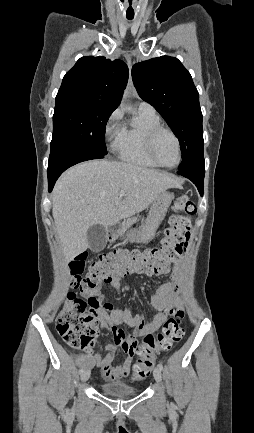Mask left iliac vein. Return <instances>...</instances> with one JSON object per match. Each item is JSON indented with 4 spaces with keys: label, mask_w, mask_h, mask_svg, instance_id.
Segmentation results:
<instances>
[{
    "label": "left iliac vein",
    "mask_w": 254,
    "mask_h": 433,
    "mask_svg": "<svg viewBox=\"0 0 254 433\" xmlns=\"http://www.w3.org/2000/svg\"><path fill=\"white\" fill-rule=\"evenodd\" d=\"M154 378H155V380H156V382L158 384H161V382H162V373H161V370L158 367L155 368V370H154Z\"/></svg>",
    "instance_id": "1"
}]
</instances>
